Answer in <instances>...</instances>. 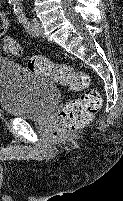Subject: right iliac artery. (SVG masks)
<instances>
[{
  "instance_id": "obj_1",
  "label": "right iliac artery",
  "mask_w": 123,
  "mask_h": 201,
  "mask_svg": "<svg viewBox=\"0 0 123 201\" xmlns=\"http://www.w3.org/2000/svg\"><path fill=\"white\" fill-rule=\"evenodd\" d=\"M18 0H9V3H11L12 5H14Z\"/></svg>"
}]
</instances>
